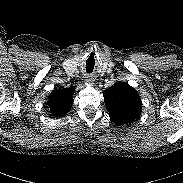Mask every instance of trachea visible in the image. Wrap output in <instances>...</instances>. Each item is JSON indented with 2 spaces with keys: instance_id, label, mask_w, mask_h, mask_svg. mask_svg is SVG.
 <instances>
[{
  "instance_id": "3493384b",
  "label": "trachea",
  "mask_w": 183,
  "mask_h": 183,
  "mask_svg": "<svg viewBox=\"0 0 183 183\" xmlns=\"http://www.w3.org/2000/svg\"><path fill=\"white\" fill-rule=\"evenodd\" d=\"M94 65H95V59L94 56H89V58L86 61V71L87 73H91L94 69Z\"/></svg>"
}]
</instances>
